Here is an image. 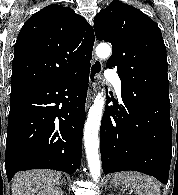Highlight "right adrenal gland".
Here are the masks:
<instances>
[{
    "mask_svg": "<svg viewBox=\"0 0 178 195\" xmlns=\"http://www.w3.org/2000/svg\"><path fill=\"white\" fill-rule=\"evenodd\" d=\"M62 183H65V184H66V181H65V180H62L61 184H62Z\"/></svg>",
    "mask_w": 178,
    "mask_h": 195,
    "instance_id": "right-adrenal-gland-1",
    "label": "right adrenal gland"
}]
</instances>
